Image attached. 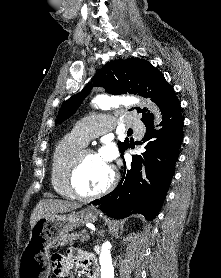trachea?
Wrapping results in <instances>:
<instances>
[{
    "instance_id": "3493384b",
    "label": "trachea",
    "mask_w": 221,
    "mask_h": 278,
    "mask_svg": "<svg viewBox=\"0 0 221 278\" xmlns=\"http://www.w3.org/2000/svg\"><path fill=\"white\" fill-rule=\"evenodd\" d=\"M127 133H130V134H131V133H132V130H131V129H129Z\"/></svg>"
}]
</instances>
